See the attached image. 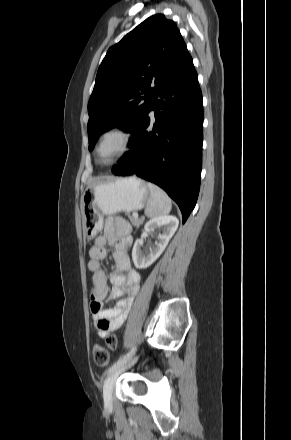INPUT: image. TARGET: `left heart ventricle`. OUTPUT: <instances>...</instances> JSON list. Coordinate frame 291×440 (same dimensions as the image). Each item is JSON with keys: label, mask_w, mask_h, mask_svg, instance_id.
Returning a JSON list of instances; mask_svg holds the SVG:
<instances>
[{"label": "left heart ventricle", "mask_w": 291, "mask_h": 440, "mask_svg": "<svg viewBox=\"0 0 291 440\" xmlns=\"http://www.w3.org/2000/svg\"><path fill=\"white\" fill-rule=\"evenodd\" d=\"M117 148L118 146L116 145V143H110L105 147L104 154L111 155L117 151Z\"/></svg>", "instance_id": "obj_1"}]
</instances>
